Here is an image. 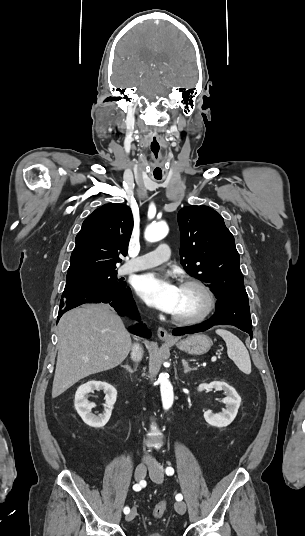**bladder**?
Masks as SVG:
<instances>
[{
	"instance_id": "1",
	"label": "bladder",
	"mask_w": 305,
	"mask_h": 536,
	"mask_svg": "<svg viewBox=\"0 0 305 536\" xmlns=\"http://www.w3.org/2000/svg\"><path fill=\"white\" fill-rule=\"evenodd\" d=\"M143 536H165V534L163 532H157V533H154V534L143 535Z\"/></svg>"
}]
</instances>
